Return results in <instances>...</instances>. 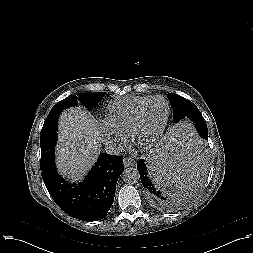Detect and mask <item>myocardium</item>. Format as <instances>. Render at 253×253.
Masks as SVG:
<instances>
[{
	"mask_svg": "<svg viewBox=\"0 0 253 253\" xmlns=\"http://www.w3.org/2000/svg\"><path fill=\"white\" fill-rule=\"evenodd\" d=\"M155 99H162L166 102V104H167L166 118H165L164 123L162 124L161 128L158 130V132L150 140H148L145 143H139V142L136 141L135 134H136L137 128H138L140 120H141L142 112L145 109V107ZM170 115H171V104H170L169 100L166 97L162 96V95L151 96L146 101H144L138 107V109L136 110V113H135V115L132 119V122H131L130 126H129V129H128V132H127V137L129 138V140L132 143H134L136 145H139L143 148H150V147L154 146L160 140L162 135L164 134V132L167 128L169 119H170Z\"/></svg>",
	"mask_w": 253,
	"mask_h": 253,
	"instance_id": "obj_1",
	"label": "myocardium"
}]
</instances>
